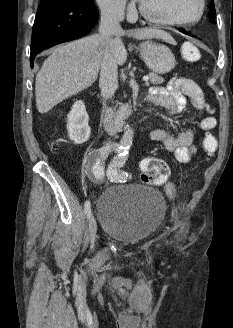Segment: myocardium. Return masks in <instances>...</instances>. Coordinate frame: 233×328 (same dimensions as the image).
Wrapping results in <instances>:
<instances>
[{
    "label": "myocardium",
    "instance_id": "obj_1",
    "mask_svg": "<svg viewBox=\"0 0 233 328\" xmlns=\"http://www.w3.org/2000/svg\"><path fill=\"white\" fill-rule=\"evenodd\" d=\"M138 8H139V12H140L141 16L151 23L161 25V26L190 27V26H194L197 23H199L201 21V19L203 18L205 9H206V2H205V0H199V12H198L197 16L190 21L168 20V19H163V18L154 16V15L150 14L143 7L141 2H139Z\"/></svg>",
    "mask_w": 233,
    "mask_h": 328
}]
</instances>
